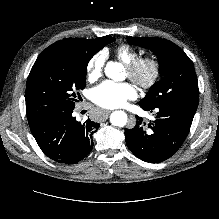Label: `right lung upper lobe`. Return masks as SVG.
<instances>
[{"label": "right lung upper lobe", "instance_id": "right-lung-upper-lobe-1", "mask_svg": "<svg viewBox=\"0 0 219 219\" xmlns=\"http://www.w3.org/2000/svg\"><path fill=\"white\" fill-rule=\"evenodd\" d=\"M115 41V38L111 36H104L97 39H79V38H69L65 40L58 41L63 44L70 46H81L90 51H93L95 54L102 49L108 43Z\"/></svg>", "mask_w": 219, "mask_h": 219}]
</instances>
